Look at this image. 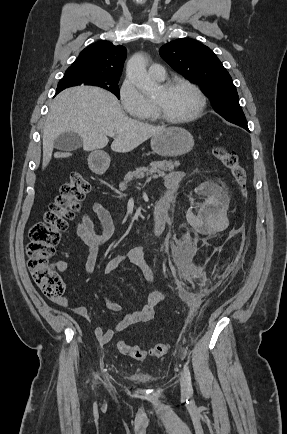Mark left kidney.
Masks as SVG:
<instances>
[{"instance_id": "left-kidney-1", "label": "left kidney", "mask_w": 287, "mask_h": 434, "mask_svg": "<svg viewBox=\"0 0 287 434\" xmlns=\"http://www.w3.org/2000/svg\"><path fill=\"white\" fill-rule=\"evenodd\" d=\"M201 187L204 190V195L206 196L205 203L202 206L201 211L210 214L211 210L216 208L219 213L224 214L227 198L225 197L222 190L217 185L210 182L203 183ZM207 207L209 208L207 209ZM186 219L187 222L193 227H197L200 223V218L194 215L191 209L188 210Z\"/></svg>"}]
</instances>
